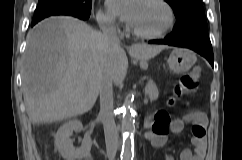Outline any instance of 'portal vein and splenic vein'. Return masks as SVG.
I'll list each match as a JSON object with an SVG mask.
<instances>
[{"label": "portal vein and splenic vein", "mask_w": 242, "mask_h": 160, "mask_svg": "<svg viewBox=\"0 0 242 160\" xmlns=\"http://www.w3.org/2000/svg\"><path fill=\"white\" fill-rule=\"evenodd\" d=\"M144 102L147 103V99L146 98H145Z\"/></svg>", "instance_id": "obj_1"}]
</instances>
